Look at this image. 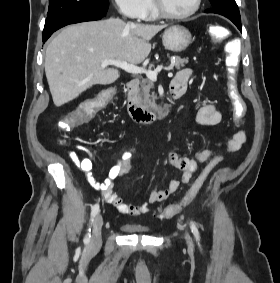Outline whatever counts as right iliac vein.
Instances as JSON below:
<instances>
[{
	"instance_id": "right-iliac-vein-1",
	"label": "right iliac vein",
	"mask_w": 280,
	"mask_h": 283,
	"mask_svg": "<svg viewBox=\"0 0 280 283\" xmlns=\"http://www.w3.org/2000/svg\"><path fill=\"white\" fill-rule=\"evenodd\" d=\"M103 225V218L100 214H98L93 223V231L91 237L90 246L92 249H97L101 246L102 239H101V230Z\"/></svg>"
}]
</instances>
